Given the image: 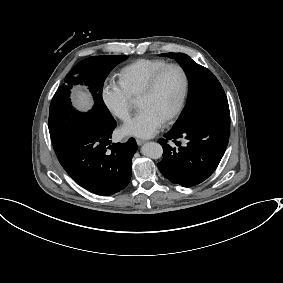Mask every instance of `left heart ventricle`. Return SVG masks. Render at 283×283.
<instances>
[{
	"instance_id": "left-heart-ventricle-1",
	"label": "left heart ventricle",
	"mask_w": 283,
	"mask_h": 283,
	"mask_svg": "<svg viewBox=\"0 0 283 283\" xmlns=\"http://www.w3.org/2000/svg\"><path fill=\"white\" fill-rule=\"evenodd\" d=\"M183 88V78L176 68L167 70L155 90L138 100L139 109L148 108L163 117L175 108Z\"/></svg>"
}]
</instances>
